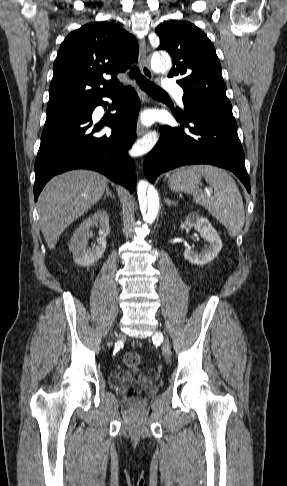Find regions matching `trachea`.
Wrapping results in <instances>:
<instances>
[{"label":"trachea","mask_w":287,"mask_h":486,"mask_svg":"<svg viewBox=\"0 0 287 486\" xmlns=\"http://www.w3.org/2000/svg\"><path fill=\"white\" fill-rule=\"evenodd\" d=\"M129 76L135 79L141 89L147 92L151 96H168L160 87L156 86L150 80L146 79L139 71L137 67H133L130 70Z\"/></svg>","instance_id":"1"}]
</instances>
